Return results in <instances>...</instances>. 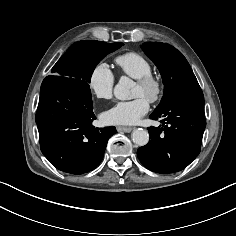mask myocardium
I'll return each instance as SVG.
<instances>
[{
  "label": "myocardium",
  "mask_w": 236,
  "mask_h": 236,
  "mask_svg": "<svg viewBox=\"0 0 236 236\" xmlns=\"http://www.w3.org/2000/svg\"><path fill=\"white\" fill-rule=\"evenodd\" d=\"M136 83L148 91L149 102L155 103L161 99L164 92V84L160 77L150 73L136 79Z\"/></svg>",
  "instance_id": "myocardium-1"
}]
</instances>
